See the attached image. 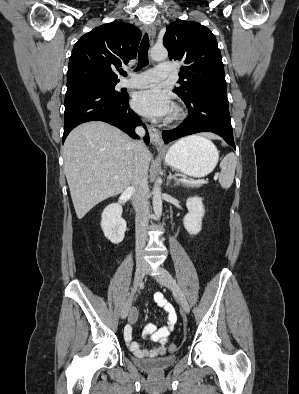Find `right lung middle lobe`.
<instances>
[{
    "label": "right lung middle lobe",
    "instance_id": "dd1d6c3e",
    "mask_svg": "<svg viewBox=\"0 0 299 394\" xmlns=\"http://www.w3.org/2000/svg\"><path fill=\"white\" fill-rule=\"evenodd\" d=\"M117 84V82H110V83H92V84H88L85 86H107V87H111L114 90L115 85Z\"/></svg>",
    "mask_w": 299,
    "mask_h": 394
}]
</instances>
